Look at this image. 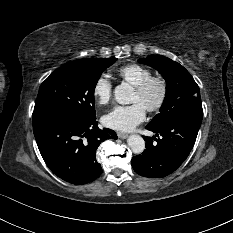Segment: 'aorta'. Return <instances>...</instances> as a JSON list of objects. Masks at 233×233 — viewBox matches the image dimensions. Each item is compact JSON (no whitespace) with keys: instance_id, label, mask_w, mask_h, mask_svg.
<instances>
[{"instance_id":"1","label":"aorta","mask_w":233,"mask_h":233,"mask_svg":"<svg viewBox=\"0 0 233 233\" xmlns=\"http://www.w3.org/2000/svg\"><path fill=\"white\" fill-rule=\"evenodd\" d=\"M114 97L119 104H130L133 99V88L127 83H122L115 87ZM127 144L135 154H141L145 149V141L140 135H130Z\"/></svg>"}]
</instances>
